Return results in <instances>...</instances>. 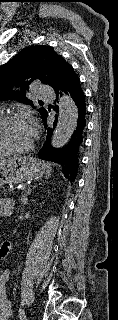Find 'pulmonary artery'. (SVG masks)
Segmentation results:
<instances>
[{
  "label": "pulmonary artery",
  "instance_id": "pulmonary-artery-1",
  "mask_svg": "<svg viewBox=\"0 0 118 320\" xmlns=\"http://www.w3.org/2000/svg\"><path fill=\"white\" fill-rule=\"evenodd\" d=\"M34 88L40 99L50 100L54 98V93L50 88L41 85H35Z\"/></svg>",
  "mask_w": 118,
  "mask_h": 320
}]
</instances>
